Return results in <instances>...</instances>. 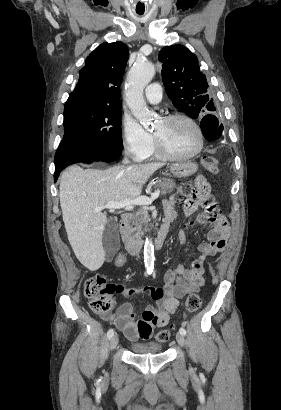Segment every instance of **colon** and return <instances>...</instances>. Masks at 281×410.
Here are the masks:
<instances>
[{
	"instance_id": "colon-1",
	"label": "colon",
	"mask_w": 281,
	"mask_h": 410,
	"mask_svg": "<svg viewBox=\"0 0 281 410\" xmlns=\"http://www.w3.org/2000/svg\"><path fill=\"white\" fill-rule=\"evenodd\" d=\"M202 167L211 174L218 172V162L215 158L206 156L202 158ZM191 189L188 186H184L182 189L183 195L191 194ZM200 205L205 212L211 217H217L221 215V210L214 197L210 194L204 195L200 199ZM125 263V257L122 254H118L115 258V265L120 267ZM117 286L107 282L106 277L103 274H96L89 277L84 284L85 296L89 299L90 308L96 313H105L113 305L112 295L115 294ZM201 305V297L197 293H193L188 296L185 302V312L192 314L196 312ZM172 329L161 330L156 335V340L160 343H165L171 336Z\"/></svg>"
}]
</instances>
